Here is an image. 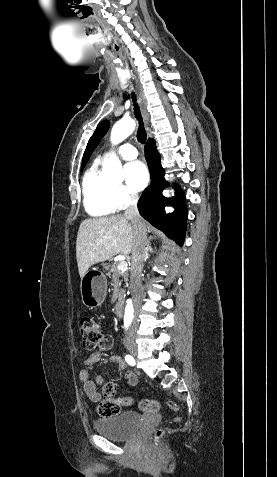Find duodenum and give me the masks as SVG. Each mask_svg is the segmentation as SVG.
<instances>
[{
	"mask_svg": "<svg viewBox=\"0 0 277 477\" xmlns=\"http://www.w3.org/2000/svg\"><path fill=\"white\" fill-rule=\"evenodd\" d=\"M123 302L121 300H118L115 304V313L118 317L123 316Z\"/></svg>",
	"mask_w": 277,
	"mask_h": 477,
	"instance_id": "1",
	"label": "duodenum"
}]
</instances>
